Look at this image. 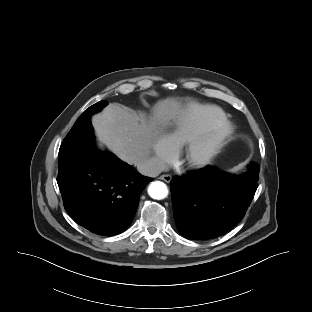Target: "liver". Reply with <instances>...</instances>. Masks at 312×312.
I'll return each mask as SVG.
<instances>
[{"instance_id":"6515ba94","label":"liver","mask_w":312,"mask_h":312,"mask_svg":"<svg viewBox=\"0 0 312 312\" xmlns=\"http://www.w3.org/2000/svg\"><path fill=\"white\" fill-rule=\"evenodd\" d=\"M181 107L174 98L161 100L146 121L119 104H109L92 117V125L100 147L105 146L122 161L137 165L149 157L153 139L170 120L176 119Z\"/></svg>"}]
</instances>
